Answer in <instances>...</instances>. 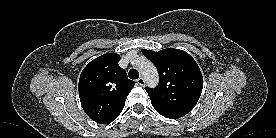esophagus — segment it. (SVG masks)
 Returning <instances> with one entry per match:
<instances>
[{
	"label": "esophagus",
	"instance_id": "esophagus-1",
	"mask_svg": "<svg viewBox=\"0 0 276 138\" xmlns=\"http://www.w3.org/2000/svg\"><path fill=\"white\" fill-rule=\"evenodd\" d=\"M137 84L140 86H144L145 85V80L143 77H140L137 79Z\"/></svg>",
	"mask_w": 276,
	"mask_h": 138
}]
</instances>
